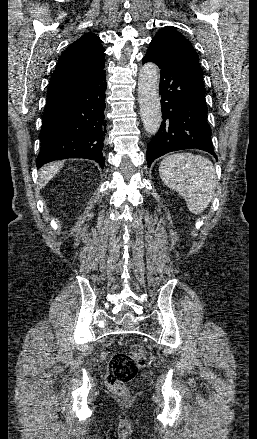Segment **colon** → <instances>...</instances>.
<instances>
[{
    "label": "colon",
    "instance_id": "5ec220e1",
    "mask_svg": "<svg viewBox=\"0 0 257 439\" xmlns=\"http://www.w3.org/2000/svg\"><path fill=\"white\" fill-rule=\"evenodd\" d=\"M146 364V354L139 344H132L126 350L116 353L109 364L106 377L108 386L115 394L126 397V383L132 381Z\"/></svg>",
    "mask_w": 257,
    "mask_h": 439
}]
</instances>
